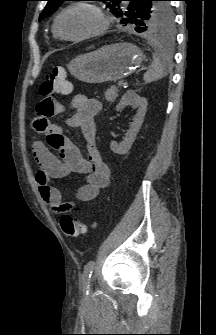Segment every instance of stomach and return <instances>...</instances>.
Wrapping results in <instances>:
<instances>
[{
    "mask_svg": "<svg viewBox=\"0 0 216 335\" xmlns=\"http://www.w3.org/2000/svg\"><path fill=\"white\" fill-rule=\"evenodd\" d=\"M145 60L136 45L118 42L74 58L68 70L78 80L90 84L113 82L134 72Z\"/></svg>",
    "mask_w": 216,
    "mask_h": 335,
    "instance_id": "stomach-1",
    "label": "stomach"
}]
</instances>
